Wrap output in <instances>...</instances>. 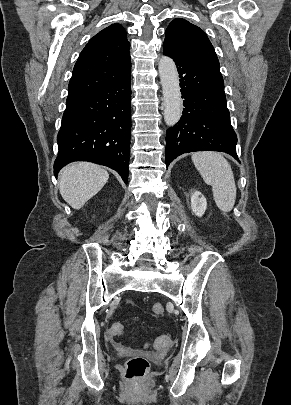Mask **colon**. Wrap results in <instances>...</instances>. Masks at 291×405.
<instances>
[{
  "label": "colon",
  "mask_w": 291,
  "mask_h": 405,
  "mask_svg": "<svg viewBox=\"0 0 291 405\" xmlns=\"http://www.w3.org/2000/svg\"><path fill=\"white\" fill-rule=\"evenodd\" d=\"M153 312L157 315L164 313V307L156 303L153 305ZM124 333V326L120 323L113 324L109 329V335L112 338L120 337ZM172 339L169 334H162L157 337L153 346L157 349H163L170 345ZM149 371V362L144 357H132L126 364L124 369V378L131 383H139L142 381L148 374Z\"/></svg>",
  "instance_id": "1"
}]
</instances>
